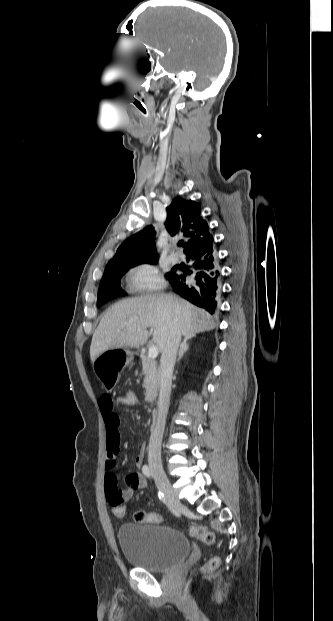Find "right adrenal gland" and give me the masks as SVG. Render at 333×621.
Segmentation results:
<instances>
[{"mask_svg": "<svg viewBox=\"0 0 333 621\" xmlns=\"http://www.w3.org/2000/svg\"><path fill=\"white\" fill-rule=\"evenodd\" d=\"M191 338L192 337H190V336H185V338H184V340H183V342H182V344L180 346L179 352H178L177 362H179L181 360L182 356L184 355V353L189 350V344L187 342Z\"/></svg>", "mask_w": 333, "mask_h": 621, "instance_id": "2a0ac1e0", "label": "right adrenal gland"}]
</instances>
